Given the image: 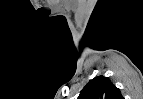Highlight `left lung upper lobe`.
<instances>
[{"label": "left lung upper lobe", "instance_id": "left-lung-upper-lobe-1", "mask_svg": "<svg viewBox=\"0 0 143 99\" xmlns=\"http://www.w3.org/2000/svg\"><path fill=\"white\" fill-rule=\"evenodd\" d=\"M77 99H123L120 90L104 76L90 80Z\"/></svg>", "mask_w": 143, "mask_h": 99}]
</instances>
